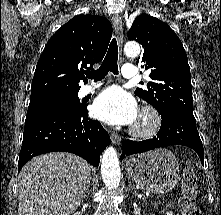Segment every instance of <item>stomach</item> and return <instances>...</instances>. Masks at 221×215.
<instances>
[{
    "label": "stomach",
    "mask_w": 221,
    "mask_h": 215,
    "mask_svg": "<svg viewBox=\"0 0 221 215\" xmlns=\"http://www.w3.org/2000/svg\"><path fill=\"white\" fill-rule=\"evenodd\" d=\"M129 176L142 189L154 194L169 192L179 180V164L175 155L159 148L131 157L126 161Z\"/></svg>",
    "instance_id": "obj_1"
}]
</instances>
